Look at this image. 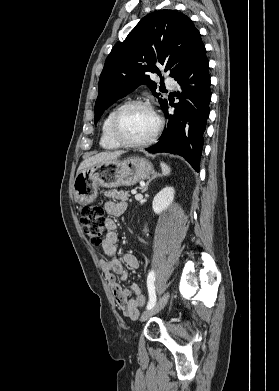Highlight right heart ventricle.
Wrapping results in <instances>:
<instances>
[{
  "mask_svg": "<svg viewBox=\"0 0 279 391\" xmlns=\"http://www.w3.org/2000/svg\"><path fill=\"white\" fill-rule=\"evenodd\" d=\"M119 106L112 108L103 119L101 125L100 145L106 150H117L122 147L121 144L116 142L110 132L112 117Z\"/></svg>",
  "mask_w": 279,
  "mask_h": 391,
  "instance_id": "e07e8e85",
  "label": "right heart ventricle"
}]
</instances>
